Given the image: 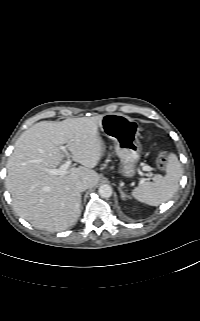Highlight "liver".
I'll return each instance as SVG.
<instances>
[{"instance_id":"obj_1","label":"liver","mask_w":200,"mask_h":321,"mask_svg":"<svg viewBox=\"0 0 200 321\" xmlns=\"http://www.w3.org/2000/svg\"><path fill=\"white\" fill-rule=\"evenodd\" d=\"M103 115L69 118L61 122L41 121L21 134L7 162L6 187L15 212L38 229L60 231L73 225L80 216L79 180L89 187L99 181L93 168L104 149L98 129ZM82 166L63 176L50 175L64 158L61 145Z\"/></svg>"}]
</instances>
